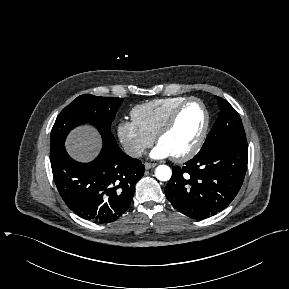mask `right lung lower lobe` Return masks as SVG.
I'll return each instance as SVG.
<instances>
[{
  "label": "right lung lower lobe",
  "mask_w": 289,
  "mask_h": 289,
  "mask_svg": "<svg viewBox=\"0 0 289 289\" xmlns=\"http://www.w3.org/2000/svg\"><path fill=\"white\" fill-rule=\"evenodd\" d=\"M50 161L66 205L80 217L99 223H110L128 209L135 183L145 170L140 160L129 157L107 138H103L99 156L90 163L76 162L64 147Z\"/></svg>",
  "instance_id": "obj_1"
}]
</instances>
